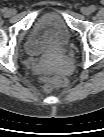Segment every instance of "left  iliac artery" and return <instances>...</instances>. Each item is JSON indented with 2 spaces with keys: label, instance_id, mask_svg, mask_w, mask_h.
Masks as SVG:
<instances>
[{
  "label": "left iliac artery",
  "instance_id": "obj_1",
  "mask_svg": "<svg viewBox=\"0 0 104 137\" xmlns=\"http://www.w3.org/2000/svg\"><path fill=\"white\" fill-rule=\"evenodd\" d=\"M90 8H91L92 12H94L96 10V7L94 5H91Z\"/></svg>",
  "mask_w": 104,
  "mask_h": 137
}]
</instances>
